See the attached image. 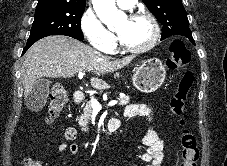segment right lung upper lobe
Listing matches in <instances>:
<instances>
[{
    "mask_svg": "<svg viewBox=\"0 0 227 166\" xmlns=\"http://www.w3.org/2000/svg\"><path fill=\"white\" fill-rule=\"evenodd\" d=\"M46 5H66L73 7H84L85 8V0H39L37 7L46 6Z\"/></svg>",
    "mask_w": 227,
    "mask_h": 166,
    "instance_id": "cb5924a9",
    "label": "right lung upper lobe"
}]
</instances>
